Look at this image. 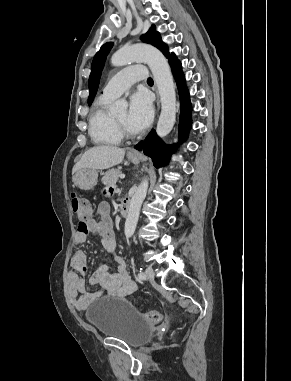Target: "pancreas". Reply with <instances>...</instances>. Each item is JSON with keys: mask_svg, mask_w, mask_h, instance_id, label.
I'll list each match as a JSON object with an SVG mask.
<instances>
[{"mask_svg": "<svg viewBox=\"0 0 291 381\" xmlns=\"http://www.w3.org/2000/svg\"><path fill=\"white\" fill-rule=\"evenodd\" d=\"M120 175H121L120 169H111L104 174L101 181L106 186H112L116 184Z\"/></svg>", "mask_w": 291, "mask_h": 381, "instance_id": "1", "label": "pancreas"}]
</instances>
